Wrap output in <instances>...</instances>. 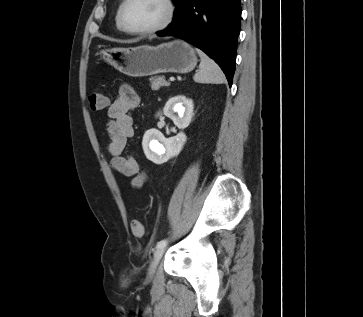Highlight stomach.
Returning <instances> with one entry per match:
<instances>
[{
    "label": "stomach",
    "mask_w": 363,
    "mask_h": 317,
    "mask_svg": "<svg viewBox=\"0 0 363 317\" xmlns=\"http://www.w3.org/2000/svg\"><path fill=\"white\" fill-rule=\"evenodd\" d=\"M104 61L132 77L158 73H188L196 64L194 49L185 41L174 40L158 46L142 45L101 51Z\"/></svg>",
    "instance_id": "0dacf381"
}]
</instances>
